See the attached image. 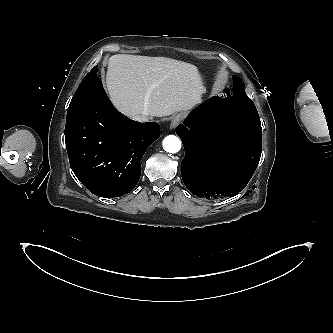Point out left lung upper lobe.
<instances>
[{
	"label": "left lung upper lobe",
	"instance_id": "5c2ea615",
	"mask_svg": "<svg viewBox=\"0 0 333 333\" xmlns=\"http://www.w3.org/2000/svg\"><path fill=\"white\" fill-rule=\"evenodd\" d=\"M233 99H235L239 103L252 105L255 107L253 102L245 93V86L242 80L236 76H234V88H233Z\"/></svg>",
	"mask_w": 333,
	"mask_h": 333
}]
</instances>
